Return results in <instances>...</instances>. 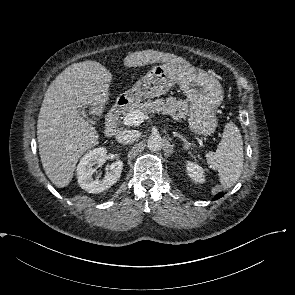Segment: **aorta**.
<instances>
[{
    "instance_id": "1",
    "label": "aorta",
    "mask_w": 295,
    "mask_h": 295,
    "mask_svg": "<svg viewBox=\"0 0 295 295\" xmlns=\"http://www.w3.org/2000/svg\"><path fill=\"white\" fill-rule=\"evenodd\" d=\"M163 146V140L159 134H151L147 139V147L149 150L158 151Z\"/></svg>"
}]
</instances>
